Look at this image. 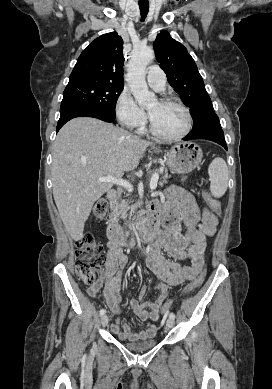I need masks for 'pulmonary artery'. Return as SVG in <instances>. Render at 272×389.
Segmentation results:
<instances>
[{
    "label": "pulmonary artery",
    "instance_id": "e3ab8cb5",
    "mask_svg": "<svg viewBox=\"0 0 272 389\" xmlns=\"http://www.w3.org/2000/svg\"><path fill=\"white\" fill-rule=\"evenodd\" d=\"M148 84L156 91H163L166 85V75L157 65H151L147 69Z\"/></svg>",
    "mask_w": 272,
    "mask_h": 389
}]
</instances>
